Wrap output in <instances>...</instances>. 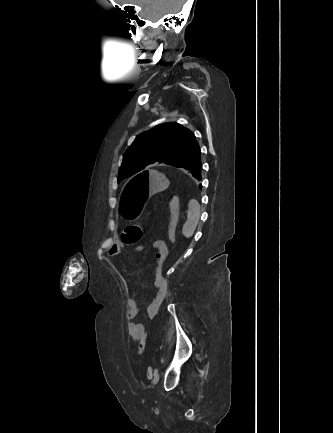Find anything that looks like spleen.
I'll list each match as a JSON object with an SVG mask.
<instances>
[{
	"instance_id": "spleen-1",
	"label": "spleen",
	"mask_w": 333,
	"mask_h": 433,
	"mask_svg": "<svg viewBox=\"0 0 333 433\" xmlns=\"http://www.w3.org/2000/svg\"><path fill=\"white\" fill-rule=\"evenodd\" d=\"M189 208L187 221L182 228V234L186 238H190L194 234L200 218V205L196 200L190 202Z\"/></svg>"
}]
</instances>
